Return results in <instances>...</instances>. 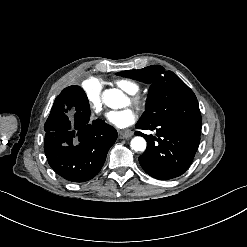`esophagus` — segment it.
<instances>
[{
  "label": "esophagus",
  "instance_id": "obj_1",
  "mask_svg": "<svg viewBox=\"0 0 247 247\" xmlns=\"http://www.w3.org/2000/svg\"><path fill=\"white\" fill-rule=\"evenodd\" d=\"M120 133L123 138H130L134 135V132L131 130H122Z\"/></svg>",
  "mask_w": 247,
  "mask_h": 247
}]
</instances>
